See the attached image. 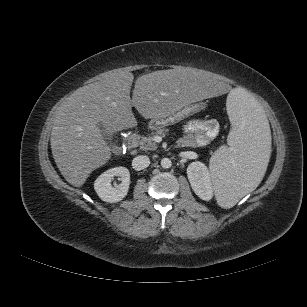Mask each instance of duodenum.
<instances>
[{"label": "duodenum", "mask_w": 307, "mask_h": 307, "mask_svg": "<svg viewBox=\"0 0 307 307\" xmlns=\"http://www.w3.org/2000/svg\"><path fill=\"white\" fill-rule=\"evenodd\" d=\"M138 145V135L137 134H132L129 136L127 143H126V148L127 150H134Z\"/></svg>", "instance_id": "duodenum-1"}]
</instances>
